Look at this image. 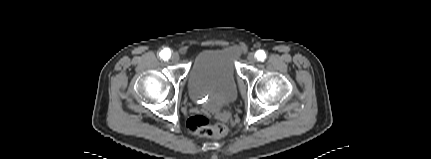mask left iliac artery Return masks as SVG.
Listing matches in <instances>:
<instances>
[{
	"mask_svg": "<svg viewBox=\"0 0 431 159\" xmlns=\"http://www.w3.org/2000/svg\"><path fill=\"white\" fill-rule=\"evenodd\" d=\"M256 57L258 60L263 61L266 58V54L263 50H258L256 52Z\"/></svg>",
	"mask_w": 431,
	"mask_h": 159,
	"instance_id": "obj_1",
	"label": "left iliac artery"
}]
</instances>
